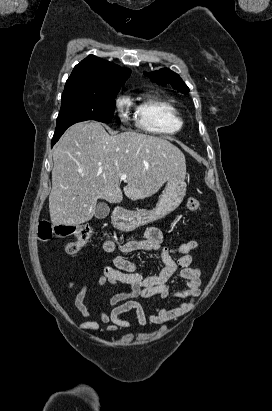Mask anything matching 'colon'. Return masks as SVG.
Instances as JSON below:
<instances>
[{
	"instance_id": "colon-1",
	"label": "colon",
	"mask_w": 272,
	"mask_h": 411,
	"mask_svg": "<svg viewBox=\"0 0 272 411\" xmlns=\"http://www.w3.org/2000/svg\"><path fill=\"white\" fill-rule=\"evenodd\" d=\"M186 208L189 212H197L200 203L197 198L190 197ZM38 234L41 240L48 241L52 238H72L66 245L67 254L77 253L90 239L92 228L88 224H58L52 225L46 221L39 224Z\"/></svg>"
}]
</instances>
